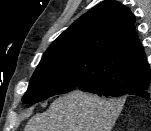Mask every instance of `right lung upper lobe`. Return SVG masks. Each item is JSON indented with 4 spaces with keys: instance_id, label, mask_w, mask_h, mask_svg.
Instances as JSON below:
<instances>
[{
    "instance_id": "right-lung-upper-lobe-1",
    "label": "right lung upper lobe",
    "mask_w": 151,
    "mask_h": 131,
    "mask_svg": "<svg viewBox=\"0 0 151 131\" xmlns=\"http://www.w3.org/2000/svg\"><path fill=\"white\" fill-rule=\"evenodd\" d=\"M135 22L128 8L106 0L77 19L50 47L63 42L73 45L94 58L107 88L128 92L150 82V68Z\"/></svg>"
}]
</instances>
